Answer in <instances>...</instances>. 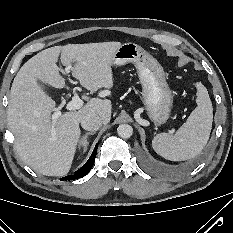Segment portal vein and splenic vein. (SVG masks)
<instances>
[{
  "label": "portal vein and splenic vein",
  "mask_w": 233,
  "mask_h": 233,
  "mask_svg": "<svg viewBox=\"0 0 233 233\" xmlns=\"http://www.w3.org/2000/svg\"><path fill=\"white\" fill-rule=\"evenodd\" d=\"M71 67H72L71 65L68 66L66 68V71L70 70ZM82 106H83V100L78 96V94L75 93L74 96L72 97V100L67 103L66 109L69 111H73V110L80 109ZM60 115H61V112L57 110L56 112L52 114V119L56 120Z\"/></svg>",
  "instance_id": "portal-vein-and-splenic-vein-1"
}]
</instances>
